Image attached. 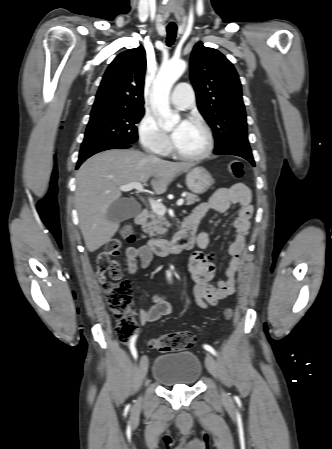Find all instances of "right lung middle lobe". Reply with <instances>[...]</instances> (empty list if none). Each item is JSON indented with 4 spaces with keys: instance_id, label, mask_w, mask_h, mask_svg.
<instances>
[{
    "instance_id": "dd1d6c3e",
    "label": "right lung middle lobe",
    "mask_w": 332,
    "mask_h": 449,
    "mask_svg": "<svg viewBox=\"0 0 332 449\" xmlns=\"http://www.w3.org/2000/svg\"><path fill=\"white\" fill-rule=\"evenodd\" d=\"M143 115L144 109H122L91 114L81 149L105 142L128 144L136 142L138 134L135 124Z\"/></svg>"
}]
</instances>
